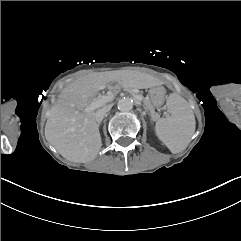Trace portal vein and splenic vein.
<instances>
[{
    "label": "portal vein and splenic vein",
    "mask_w": 241,
    "mask_h": 241,
    "mask_svg": "<svg viewBox=\"0 0 241 241\" xmlns=\"http://www.w3.org/2000/svg\"><path fill=\"white\" fill-rule=\"evenodd\" d=\"M132 97L137 98V101H142V96H137V92H132ZM113 95L107 96H100L99 98L94 99L87 110H96L97 108L101 107L102 105L111 102L113 100Z\"/></svg>",
    "instance_id": "18ae733b"
}]
</instances>
